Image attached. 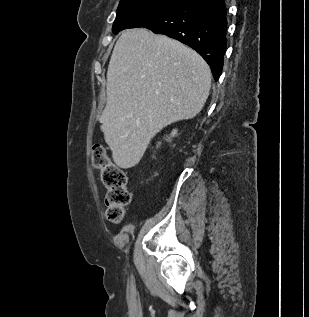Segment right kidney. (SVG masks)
<instances>
[{
  "label": "right kidney",
  "instance_id": "ca27d5eb",
  "mask_svg": "<svg viewBox=\"0 0 309 317\" xmlns=\"http://www.w3.org/2000/svg\"><path fill=\"white\" fill-rule=\"evenodd\" d=\"M177 134V130H173L171 133V137H174Z\"/></svg>",
  "mask_w": 309,
  "mask_h": 317
}]
</instances>
